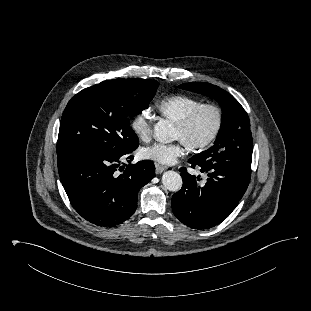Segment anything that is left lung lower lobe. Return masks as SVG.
Returning a JSON list of instances; mask_svg holds the SVG:
<instances>
[{"label":"left lung lower lobe","instance_id":"0a47b994","mask_svg":"<svg viewBox=\"0 0 311 311\" xmlns=\"http://www.w3.org/2000/svg\"><path fill=\"white\" fill-rule=\"evenodd\" d=\"M192 168L207 173L205 184L185 167L180 168L183 179L181 190L172 197L174 215L194 229H208L221 223L238 205L251 176V164L241 161L210 163L189 159Z\"/></svg>","mask_w":311,"mask_h":311}]
</instances>
